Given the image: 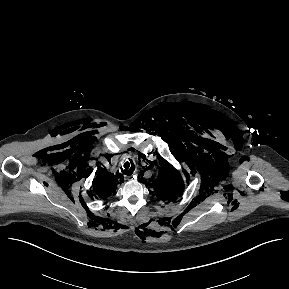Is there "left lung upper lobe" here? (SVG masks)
Listing matches in <instances>:
<instances>
[{
  "instance_id": "1",
  "label": "left lung upper lobe",
  "mask_w": 289,
  "mask_h": 289,
  "mask_svg": "<svg viewBox=\"0 0 289 289\" xmlns=\"http://www.w3.org/2000/svg\"><path fill=\"white\" fill-rule=\"evenodd\" d=\"M161 165L163 169L159 170V175L153 181L152 187L157 198L172 201L182 194L184 180L182 175L166 161Z\"/></svg>"
}]
</instances>
